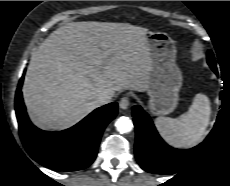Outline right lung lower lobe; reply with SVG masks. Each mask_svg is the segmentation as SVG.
I'll use <instances>...</instances> for the list:
<instances>
[{
    "instance_id": "right-lung-lower-lobe-1",
    "label": "right lung lower lobe",
    "mask_w": 230,
    "mask_h": 186,
    "mask_svg": "<svg viewBox=\"0 0 230 186\" xmlns=\"http://www.w3.org/2000/svg\"><path fill=\"white\" fill-rule=\"evenodd\" d=\"M21 77L15 97L19 133L29 155L54 170L76 171L88 167L96 158L106 125L117 115V103L102 106L75 126L56 132L42 131L29 120L22 98Z\"/></svg>"
}]
</instances>
